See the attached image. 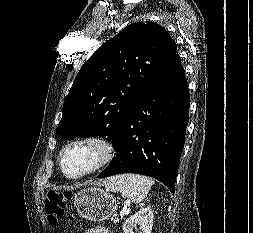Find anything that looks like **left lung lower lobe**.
Segmentation results:
<instances>
[{
  "label": "left lung lower lobe",
  "mask_w": 253,
  "mask_h": 233,
  "mask_svg": "<svg viewBox=\"0 0 253 233\" xmlns=\"http://www.w3.org/2000/svg\"><path fill=\"white\" fill-rule=\"evenodd\" d=\"M189 105L188 84L176 53L123 122L113 144L116 157L98 178L143 174L163 182L174 194Z\"/></svg>",
  "instance_id": "left-lung-lower-lobe-1"
}]
</instances>
